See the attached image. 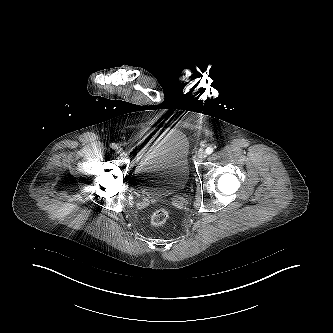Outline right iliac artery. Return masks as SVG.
I'll use <instances>...</instances> for the list:
<instances>
[{"instance_id":"82829eb1","label":"right iliac artery","mask_w":333,"mask_h":333,"mask_svg":"<svg viewBox=\"0 0 333 333\" xmlns=\"http://www.w3.org/2000/svg\"><path fill=\"white\" fill-rule=\"evenodd\" d=\"M110 146H111V148H113V149H116V148H117V145H116L115 143H112Z\"/></svg>"}]
</instances>
